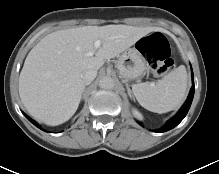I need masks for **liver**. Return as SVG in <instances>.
<instances>
[{"label": "liver", "mask_w": 219, "mask_h": 174, "mask_svg": "<svg viewBox=\"0 0 219 174\" xmlns=\"http://www.w3.org/2000/svg\"><path fill=\"white\" fill-rule=\"evenodd\" d=\"M151 27L128 25L83 26L58 30L42 38L27 55L19 77V95L31 116L51 126L76 112L85 83L82 74L100 69L105 60L119 56ZM101 47L95 56L86 54Z\"/></svg>", "instance_id": "liver-1"}]
</instances>
